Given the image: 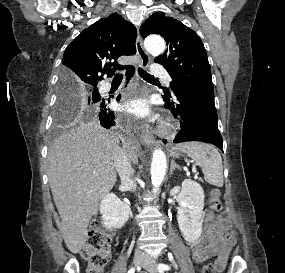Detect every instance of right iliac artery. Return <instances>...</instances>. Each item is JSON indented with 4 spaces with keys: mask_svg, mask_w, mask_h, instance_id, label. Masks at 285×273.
Listing matches in <instances>:
<instances>
[{
    "mask_svg": "<svg viewBox=\"0 0 285 273\" xmlns=\"http://www.w3.org/2000/svg\"><path fill=\"white\" fill-rule=\"evenodd\" d=\"M128 273H135V268H131Z\"/></svg>",
    "mask_w": 285,
    "mask_h": 273,
    "instance_id": "right-iliac-artery-1",
    "label": "right iliac artery"
}]
</instances>
